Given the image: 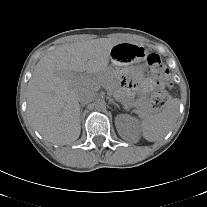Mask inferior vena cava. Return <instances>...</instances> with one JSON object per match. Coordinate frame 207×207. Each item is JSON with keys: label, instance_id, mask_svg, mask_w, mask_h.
Returning a JSON list of instances; mask_svg holds the SVG:
<instances>
[{"label": "inferior vena cava", "instance_id": "inferior-vena-cava-1", "mask_svg": "<svg viewBox=\"0 0 207 207\" xmlns=\"http://www.w3.org/2000/svg\"><path fill=\"white\" fill-rule=\"evenodd\" d=\"M78 101L81 104H87L94 100L95 94L94 91L88 88H81L77 94Z\"/></svg>", "mask_w": 207, "mask_h": 207}]
</instances>
